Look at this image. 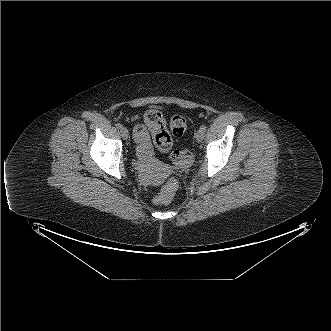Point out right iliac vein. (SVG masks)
I'll return each instance as SVG.
<instances>
[{
  "instance_id": "right-iliac-vein-1",
  "label": "right iliac vein",
  "mask_w": 331,
  "mask_h": 331,
  "mask_svg": "<svg viewBox=\"0 0 331 331\" xmlns=\"http://www.w3.org/2000/svg\"><path fill=\"white\" fill-rule=\"evenodd\" d=\"M120 133H121L122 138L125 139V140H126V139L128 138V136H129V133H128V130H127L126 127H121V128H120Z\"/></svg>"
}]
</instances>
